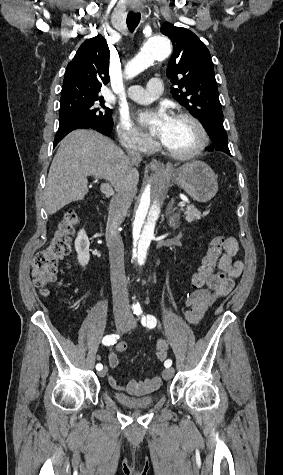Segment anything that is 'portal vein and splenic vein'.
<instances>
[{
  "instance_id": "1",
  "label": "portal vein and splenic vein",
  "mask_w": 283,
  "mask_h": 475,
  "mask_svg": "<svg viewBox=\"0 0 283 475\" xmlns=\"http://www.w3.org/2000/svg\"><path fill=\"white\" fill-rule=\"evenodd\" d=\"M101 192H103L105 196H113L114 194L113 188H111L109 184H101ZM178 206H180V208H184V206H186V202H179Z\"/></svg>"
}]
</instances>
